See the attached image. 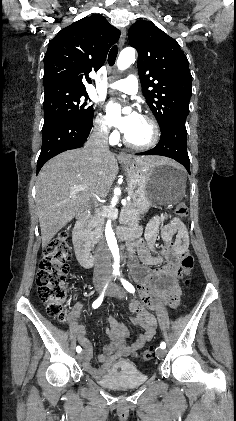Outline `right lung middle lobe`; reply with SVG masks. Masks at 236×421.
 I'll list each match as a JSON object with an SVG mask.
<instances>
[{"label":"right lung middle lobe","instance_id":"obj_1","mask_svg":"<svg viewBox=\"0 0 236 421\" xmlns=\"http://www.w3.org/2000/svg\"><path fill=\"white\" fill-rule=\"evenodd\" d=\"M45 89L44 125L57 119L89 125L93 118V107H87L86 91L49 87Z\"/></svg>","mask_w":236,"mask_h":421}]
</instances>
